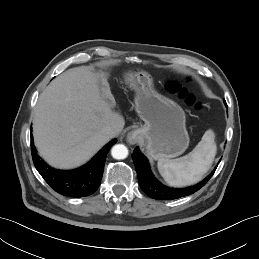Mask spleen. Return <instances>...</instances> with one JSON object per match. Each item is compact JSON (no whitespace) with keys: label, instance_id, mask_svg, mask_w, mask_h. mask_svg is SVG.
Listing matches in <instances>:
<instances>
[{"label":"spleen","instance_id":"obj_1","mask_svg":"<svg viewBox=\"0 0 259 259\" xmlns=\"http://www.w3.org/2000/svg\"><path fill=\"white\" fill-rule=\"evenodd\" d=\"M216 151L215 133L208 129L189 154L172 160L159 159L157 163L159 173L171 186L182 187L195 184L211 168Z\"/></svg>","mask_w":259,"mask_h":259}]
</instances>
